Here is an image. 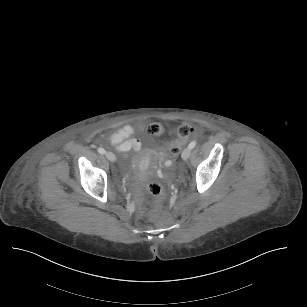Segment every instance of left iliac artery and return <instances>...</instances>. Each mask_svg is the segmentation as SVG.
Segmentation results:
<instances>
[{
	"mask_svg": "<svg viewBox=\"0 0 307 307\" xmlns=\"http://www.w3.org/2000/svg\"><path fill=\"white\" fill-rule=\"evenodd\" d=\"M196 141H192L189 145L188 148L193 149L196 146Z\"/></svg>",
	"mask_w": 307,
	"mask_h": 307,
	"instance_id": "44dca946",
	"label": "left iliac artery"
}]
</instances>
